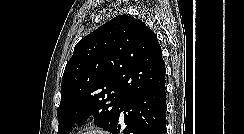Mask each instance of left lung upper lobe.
<instances>
[{"label":"left lung upper lobe","mask_w":244,"mask_h":134,"mask_svg":"<svg viewBox=\"0 0 244 134\" xmlns=\"http://www.w3.org/2000/svg\"><path fill=\"white\" fill-rule=\"evenodd\" d=\"M165 82L154 32L140 19L119 15L76 44L63 74L57 134L92 116L108 131L127 97Z\"/></svg>","instance_id":"5c2ea615"}]
</instances>
